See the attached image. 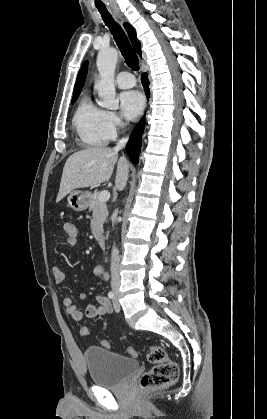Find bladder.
<instances>
[{"label":"bladder","instance_id":"bladder-1","mask_svg":"<svg viewBox=\"0 0 267 419\" xmlns=\"http://www.w3.org/2000/svg\"><path fill=\"white\" fill-rule=\"evenodd\" d=\"M84 357L91 381L104 388L122 386L139 368V362L136 359L100 346L86 348Z\"/></svg>","mask_w":267,"mask_h":419}]
</instances>
